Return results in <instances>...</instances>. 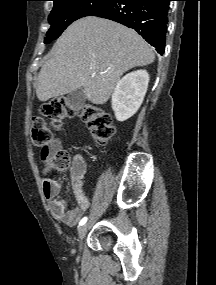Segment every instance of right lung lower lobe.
<instances>
[{"instance_id": "obj_1", "label": "right lung lower lobe", "mask_w": 216, "mask_h": 285, "mask_svg": "<svg viewBox=\"0 0 216 285\" xmlns=\"http://www.w3.org/2000/svg\"><path fill=\"white\" fill-rule=\"evenodd\" d=\"M171 0H112L88 16H98L135 29L159 54L164 53Z\"/></svg>"}]
</instances>
